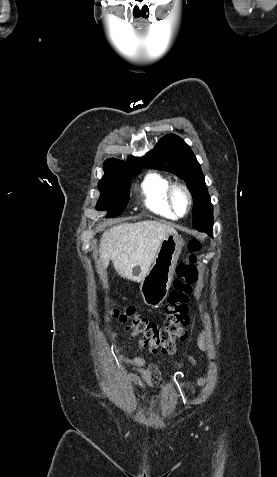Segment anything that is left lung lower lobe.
<instances>
[{
  "mask_svg": "<svg viewBox=\"0 0 277 477\" xmlns=\"http://www.w3.org/2000/svg\"><path fill=\"white\" fill-rule=\"evenodd\" d=\"M212 228H213V224H212V225L205 226V227H202V228H200L199 230L206 232L209 236L212 237V235H213V234H212Z\"/></svg>",
  "mask_w": 277,
  "mask_h": 477,
  "instance_id": "left-lung-lower-lobe-1",
  "label": "left lung lower lobe"
}]
</instances>
